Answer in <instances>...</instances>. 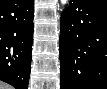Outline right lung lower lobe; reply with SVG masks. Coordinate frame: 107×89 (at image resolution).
Masks as SVG:
<instances>
[{
  "label": "right lung lower lobe",
  "mask_w": 107,
  "mask_h": 89,
  "mask_svg": "<svg viewBox=\"0 0 107 89\" xmlns=\"http://www.w3.org/2000/svg\"><path fill=\"white\" fill-rule=\"evenodd\" d=\"M34 0H0V80L27 89L31 70Z\"/></svg>",
  "instance_id": "obj_1"
}]
</instances>
